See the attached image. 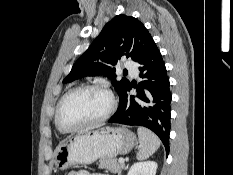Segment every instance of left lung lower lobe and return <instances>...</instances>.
Returning <instances> with one entry per match:
<instances>
[{
  "label": "left lung lower lobe",
  "instance_id": "0a47b994",
  "mask_svg": "<svg viewBox=\"0 0 233 175\" xmlns=\"http://www.w3.org/2000/svg\"><path fill=\"white\" fill-rule=\"evenodd\" d=\"M139 64L140 77L144 80L135 87L137 95H128L130 84L108 122L149 128L161 139L168 155L172 95L165 63L156 44Z\"/></svg>",
  "mask_w": 233,
  "mask_h": 175
}]
</instances>
